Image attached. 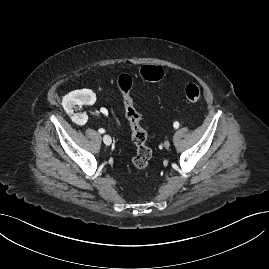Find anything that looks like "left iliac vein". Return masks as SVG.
Segmentation results:
<instances>
[{"label": "left iliac vein", "instance_id": "left-iliac-vein-1", "mask_svg": "<svg viewBox=\"0 0 269 269\" xmlns=\"http://www.w3.org/2000/svg\"><path fill=\"white\" fill-rule=\"evenodd\" d=\"M164 148L168 149L170 147V142L169 141H165L163 144Z\"/></svg>", "mask_w": 269, "mask_h": 269}]
</instances>
